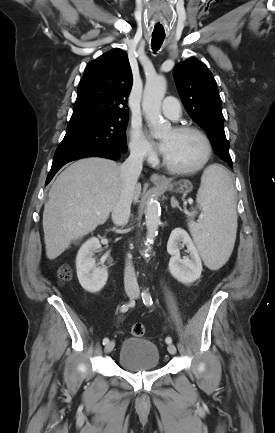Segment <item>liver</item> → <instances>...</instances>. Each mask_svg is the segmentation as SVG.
I'll list each match as a JSON object with an SVG mask.
<instances>
[{"instance_id":"liver-1","label":"liver","mask_w":275,"mask_h":433,"mask_svg":"<svg viewBox=\"0 0 275 433\" xmlns=\"http://www.w3.org/2000/svg\"><path fill=\"white\" fill-rule=\"evenodd\" d=\"M123 186L120 166L99 157L80 159L55 180L43 212L46 256L54 260L73 240L82 238L109 218ZM141 184H136L137 202Z\"/></svg>"}]
</instances>
